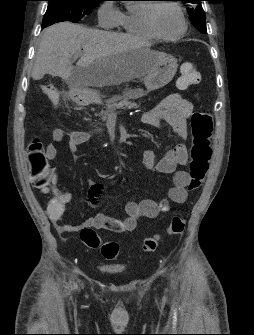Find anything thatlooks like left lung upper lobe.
Wrapping results in <instances>:
<instances>
[{"mask_svg": "<svg viewBox=\"0 0 254 335\" xmlns=\"http://www.w3.org/2000/svg\"><path fill=\"white\" fill-rule=\"evenodd\" d=\"M191 5V8L187 9L190 15L191 22L201 32L206 33V16L204 14L201 1L202 0H182Z\"/></svg>", "mask_w": 254, "mask_h": 335, "instance_id": "1", "label": "left lung upper lobe"}]
</instances>
